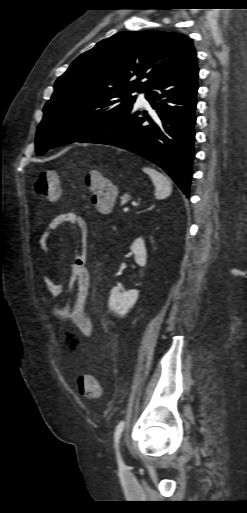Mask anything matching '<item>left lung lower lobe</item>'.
Here are the masks:
<instances>
[{"label":"left lung lower lobe","instance_id":"obj_1","mask_svg":"<svg viewBox=\"0 0 247 513\" xmlns=\"http://www.w3.org/2000/svg\"><path fill=\"white\" fill-rule=\"evenodd\" d=\"M199 69L196 57L171 78L146 92L155 113L119 115L111 124L77 142L116 146L133 152L164 169L188 195L194 158V125Z\"/></svg>","mask_w":247,"mask_h":513}]
</instances>
